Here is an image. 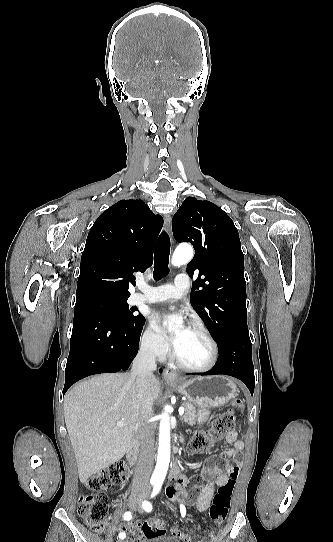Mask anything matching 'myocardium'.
I'll return each mask as SVG.
<instances>
[{
  "mask_svg": "<svg viewBox=\"0 0 333 542\" xmlns=\"http://www.w3.org/2000/svg\"><path fill=\"white\" fill-rule=\"evenodd\" d=\"M190 328L193 329L194 331L198 332L200 335H202L209 342V344L211 346V352H212L210 361L205 366H202V367L190 366V365L182 362L179 358H177L176 355L173 353L171 347H169V350H168V357H169L170 361L173 364H175L178 368H180V369H182V370H184L186 372H191V373H205V372H208V371L212 370L215 367V365L217 364V361H218V358H219V346H218V343L216 342L213 335L204 326L194 324Z\"/></svg>",
  "mask_w": 333,
  "mask_h": 542,
  "instance_id": "myocardium-1",
  "label": "myocardium"
}]
</instances>
